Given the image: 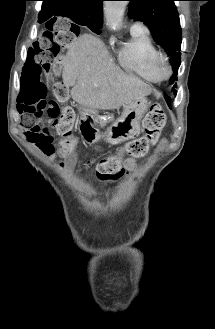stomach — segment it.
<instances>
[{
	"label": "stomach",
	"instance_id": "obj_1",
	"mask_svg": "<svg viewBox=\"0 0 215 329\" xmlns=\"http://www.w3.org/2000/svg\"><path fill=\"white\" fill-rule=\"evenodd\" d=\"M147 107L145 97L137 98L124 105L122 115L105 132V140L111 145H118L138 137L141 131L140 121L147 111ZM79 113L84 118H96L97 115L94 109L86 106H80ZM101 137L100 133H95L91 141L97 142Z\"/></svg>",
	"mask_w": 215,
	"mask_h": 329
}]
</instances>
